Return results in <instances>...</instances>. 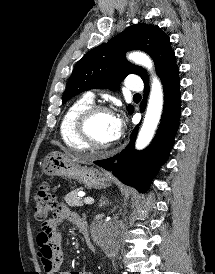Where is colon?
<instances>
[{"mask_svg":"<svg viewBox=\"0 0 215 274\" xmlns=\"http://www.w3.org/2000/svg\"><path fill=\"white\" fill-rule=\"evenodd\" d=\"M57 197L55 192L47 184H42L35 193V218L44 222L57 207Z\"/></svg>","mask_w":215,"mask_h":274,"instance_id":"1","label":"colon"}]
</instances>
